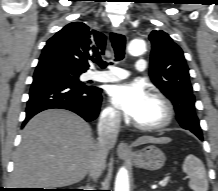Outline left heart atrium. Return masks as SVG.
I'll return each instance as SVG.
<instances>
[{"label":"left heart atrium","instance_id":"obj_1","mask_svg":"<svg viewBox=\"0 0 218 191\" xmlns=\"http://www.w3.org/2000/svg\"><path fill=\"white\" fill-rule=\"evenodd\" d=\"M149 97L142 82L115 85L109 91V99L113 105L133 120L140 115Z\"/></svg>","mask_w":218,"mask_h":191}]
</instances>
